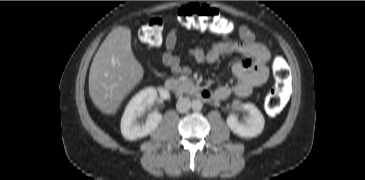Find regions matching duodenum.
I'll use <instances>...</instances> for the list:
<instances>
[{"instance_id":"duodenum-1","label":"duodenum","mask_w":365,"mask_h":180,"mask_svg":"<svg viewBox=\"0 0 365 180\" xmlns=\"http://www.w3.org/2000/svg\"><path fill=\"white\" fill-rule=\"evenodd\" d=\"M164 86L167 90L177 93L188 91L201 101H209L213 98V93L210 90L195 84L182 82L176 78L166 80Z\"/></svg>"}]
</instances>
